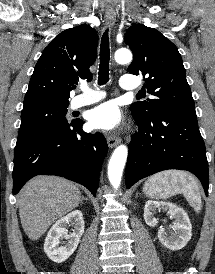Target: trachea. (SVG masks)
<instances>
[{
  "label": "trachea",
  "mask_w": 215,
  "mask_h": 274,
  "mask_svg": "<svg viewBox=\"0 0 215 274\" xmlns=\"http://www.w3.org/2000/svg\"><path fill=\"white\" fill-rule=\"evenodd\" d=\"M109 60H110L109 37H108V30H106L102 36L101 45H100V64H99V73H98L99 85L106 84L109 80Z\"/></svg>",
  "instance_id": "1"
}]
</instances>
